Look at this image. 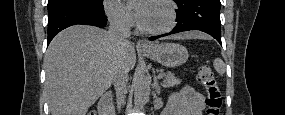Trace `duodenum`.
<instances>
[{
  "mask_svg": "<svg viewBox=\"0 0 285 115\" xmlns=\"http://www.w3.org/2000/svg\"><path fill=\"white\" fill-rule=\"evenodd\" d=\"M100 115H113V107L109 94H104L99 101Z\"/></svg>",
  "mask_w": 285,
  "mask_h": 115,
  "instance_id": "duodenum-1",
  "label": "duodenum"
}]
</instances>
